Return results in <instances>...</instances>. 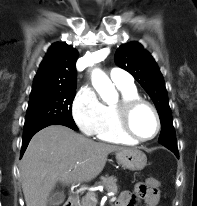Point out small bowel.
Returning <instances> with one entry per match:
<instances>
[{
  "instance_id": "1",
  "label": "small bowel",
  "mask_w": 197,
  "mask_h": 206,
  "mask_svg": "<svg viewBox=\"0 0 197 206\" xmlns=\"http://www.w3.org/2000/svg\"><path fill=\"white\" fill-rule=\"evenodd\" d=\"M144 193V198L148 206H158V187L156 189L147 188ZM131 198L132 193L130 191H124L118 199L116 206H131Z\"/></svg>"
}]
</instances>
